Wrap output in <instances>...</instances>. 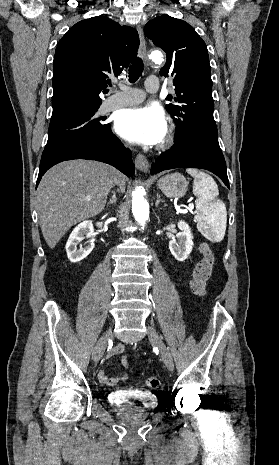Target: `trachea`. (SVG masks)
<instances>
[{
	"instance_id": "1",
	"label": "trachea",
	"mask_w": 279,
	"mask_h": 465,
	"mask_svg": "<svg viewBox=\"0 0 279 465\" xmlns=\"http://www.w3.org/2000/svg\"><path fill=\"white\" fill-rule=\"evenodd\" d=\"M143 67V61L140 58L133 60L132 65L129 68V81L131 83H134L139 79L142 75Z\"/></svg>"
}]
</instances>
